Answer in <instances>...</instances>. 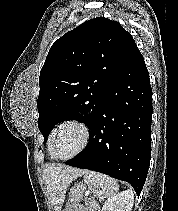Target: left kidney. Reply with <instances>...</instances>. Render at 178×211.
<instances>
[{"label":"left kidney","instance_id":"5707ae66","mask_svg":"<svg viewBox=\"0 0 178 211\" xmlns=\"http://www.w3.org/2000/svg\"><path fill=\"white\" fill-rule=\"evenodd\" d=\"M133 203V191L126 190L106 200L101 211H131Z\"/></svg>","mask_w":178,"mask_h":211}]
</instances>
